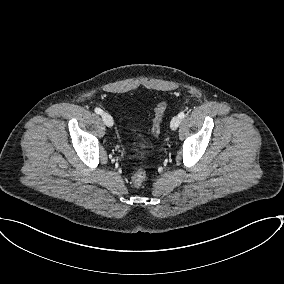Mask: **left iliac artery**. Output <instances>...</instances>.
<instances>
[{
	"label": "left iliac artery",
	"instance_id": "1",
	"mask_svg": "<svg viewBox=\"0 0 284 284\" xmlns=\"http://www.w3.org/2000/svg\"><path fill=\"white\" fill-rule=\"evenodd\" d=\"M178 117H179L180 119H183V118L185 117V113H184V112H180V113L178 114Z\"/></svg>",
	"mask_w": 284,
	"mask_h": 284
}]
</instances>
